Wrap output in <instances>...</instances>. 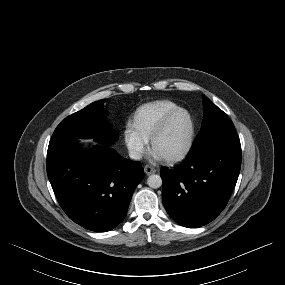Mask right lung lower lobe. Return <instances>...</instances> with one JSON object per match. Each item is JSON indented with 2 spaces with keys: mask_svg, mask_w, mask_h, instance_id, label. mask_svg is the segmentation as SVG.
Returning <instances> with one entry per match:
<instances>
[{
  "mask_svg": "<svg viewBox=\"0 0 285 285\" xmlns=\"http://www.w3.org/2000/svg\"><path fill=\"white\" fill-rule=\"evenodd\" d=\"M76 139L49 143L47 174L67 216L95 232L115 228L126 216L136 186L144 177L139 162L113 148L83 152Z\"/></svg>",
  "mask_w": 285,
  "mask_h": 285,
  "instance_id": "1",
  "label": "right lung lower lobe"
}]
</instances>
